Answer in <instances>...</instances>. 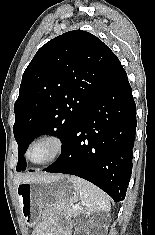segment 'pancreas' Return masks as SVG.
Instances as JSON below:
<instances>
[{
  "instance_id": "cf45deb5",
  "label": "pancreas",
  "mask_w": 155,
  "mask_h": 235,
  "mask_svg": "<svg viewBox=\"0 0 155 235\" xmlns=\"http://www.w3.org/2000/svg\"><path fill=\"white\" fill-rule=\"evenodd\" d=\"M61 209L70 217H75L77 216L78 212L74 211L71 207L69 206H62Z\"/></svg>"
}]
</instances>
